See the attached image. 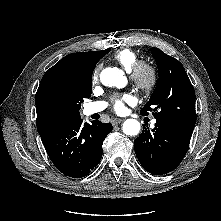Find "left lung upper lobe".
Wrapping results in <instances>:
<instances>
[{"mask_svg":"<svg viewBox=\"0 0 221 221\" xmlns=\"http://www.w3.org/2000/svg\"><path fill=\"white\" fill-rule=\"evenodd\" d=\"M151 53L159 69V82L142 115L152 111L157 123L180 131L193 132L196 123L195 92L183 65L158 48Z\"/></svg>","mask_w":221,"mask_h":221,"instance_id":"obj_1","label":"left lung upper lobe"}]
</instances>
